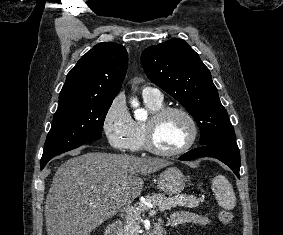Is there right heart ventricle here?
I'll list each match as a JSON object with an SVG mask.
<instances>
[{
    "label": "right heart ventricle",
    "instance_id": "right-heart-ventricle-1",
    "mask_svg": "<svg viewBox=\"0 0 283 235\" xmlns=\"http://www.w3.org/2000/svg\"><path fill=\"white\" fill-rule=\"evenodd\" d=\"M146 107L151 113L164 107L162 99L144 98ZM144 122L133 121V132L129 142V148L132 151H140L144 149Z\"/></svg>",
    "mask_w": 283,
    "mask_h": 235
}]
</instances>
